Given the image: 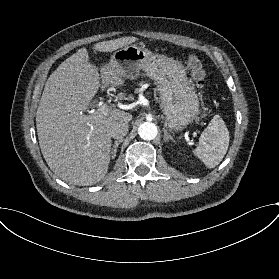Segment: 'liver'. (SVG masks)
<instances>
[{
    "mask_svg": "<svg viewBox=\"0 0 279 279\" xmlns=\"http://www.w3.org/2000/svg\"><path fill=\"white\" fill-rule=\"evenodd\" d=\"M138 41V37H120L97 42L93 50L110 53ZM98 69L100 74L90 64L87 48H80L49 76L36 111L39 147L48 167L61 180L76 186H92L105 178L112 150L108 131L117 123L133 120L130 112L117 107L107 114H84L95 108L100 80L109 89L126 86L116 65L101 62ZM117 98L121 103L129 94L120 92Z\"/></svg>",
    "mask_w": 279,
    "mask_h": 279,
    "instance_id": "obj_1",
    "label": "liver"
}]
</instances>
